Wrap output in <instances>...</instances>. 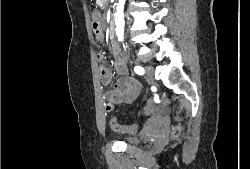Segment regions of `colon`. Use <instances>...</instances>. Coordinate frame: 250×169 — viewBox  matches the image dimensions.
Wrapping results in <instances>:
<instances>
[{
  "mask_svg": "<svg viewBox=\"0 0 250 169\" xmlns=\"http://www.w3.org/2000/svg\"><path fill=\"white\" fill-rule=\"evenodd\" d=\"M92 29H93V33L95 35L96 40L99 41L102 37V30H101L99 19L97 17L93 19ZM115 107H116L115 103H107V108H115ZM107 114H112V109H107ZM140 118L142 119L143 117L141 116ZM110 126H111V129L116 132H120V131L127 132L129 130H132L133 132H135L140 127L138 124L133 126L132 128L120 126L116 122V119H111ZM184 126H185L184 122H177L176 126L172 127L171 139H182V135H184Z\"/></svg>",
  "mask_w": 250,
  "mask_h": 169,
  "instance_id": "obj_1",
  "label": "colon"
}]
</instances>
